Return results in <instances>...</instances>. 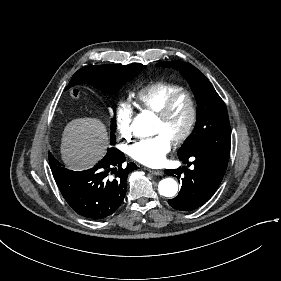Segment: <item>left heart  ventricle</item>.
Instances as JSON below:
<instances>
[{"mask_svg":"<svg viewBox=\"0 0 281 281\" xmlns=\"http://www.w3.org/2000/svg\"><path fill=\"white\" fill-rule=\"evenodd\" d=\"M189 118V107L185 99L175 103L168 117L164 120L152 118V135L164 134L169 139L179 135L185 128Z\"/></svg>","mask_w":281,"mask_h":281,"instance_id":"left-heart-ventricle-1","label":"left heart ventricle"}]
</instances>
